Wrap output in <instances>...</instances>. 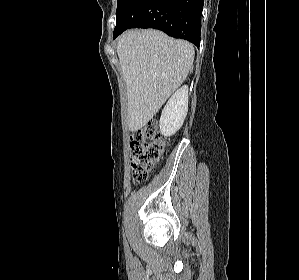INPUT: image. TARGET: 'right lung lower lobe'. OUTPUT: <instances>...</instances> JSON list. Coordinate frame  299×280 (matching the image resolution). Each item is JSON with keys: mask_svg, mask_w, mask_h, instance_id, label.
<instances>
[{"mask_svg": "<svg viewBox=\"0 0 299 280\" xmlns=\"http://www.w3.org/2000/svg\"><path fill=\"white\" fill-rule=\"evenodd\" d=\"M204 0H124L113 39L128 28H154L200 45Z\"/></svg>", "mask_w": 299, "mask_h": 280, "instance_id": "right-lung-lower-lobe-1", "label": "right lung lower lobe"}]
</instances>
